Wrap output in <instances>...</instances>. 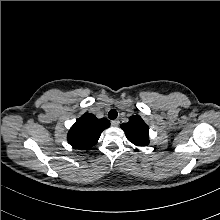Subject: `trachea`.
<instances>
[{
  "label": "trachea",
  "mask_w": 220,
  "mask_h": 220,
  "mask_svg": "<svg viewBox=\"0 0 220 220\" xmlns=\"http://www.w3.org/2000/svg\"><path fill=\"white\" fill-rule=\"evenodd\" d=\"M117 116H118V112L115 109L110 110L108 113V118L111 120L116 119Z\"/></svg>",
  "instance_id": "3493384b"
}]
</instances>
